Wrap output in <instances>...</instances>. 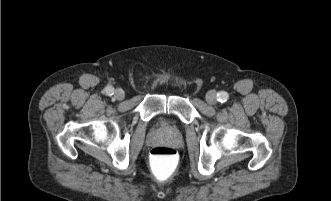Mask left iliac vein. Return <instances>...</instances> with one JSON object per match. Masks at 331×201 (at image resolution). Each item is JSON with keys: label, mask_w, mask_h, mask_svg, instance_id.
<instances>
[{"label": "left iliac vein", "mask_w": 331, "mask_h": 201, "mask_svg": "<svg viewBox=\"0 0 331 201\" xmlns=\"http://www.w3.org/2000/svg\"><path fill=\"white\" fill-rule=\"evenodd\" d=\"M217 94L216 91L211 90L206 95V101L210 105H215L217 103Z\"/></svg>", "instance_id": "obj_1"}]
</instances>
